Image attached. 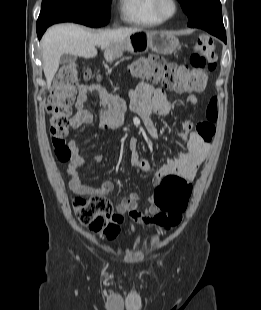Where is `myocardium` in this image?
Returning <instances> with one entry per match:
<instances>
[{
    "mask_svg": "<svg viewBox=\"0 0 261 310\" xmlns=\"http://www.w3.org/2000/svg\"><path fill=\"white\" fill-rule=\"evenodd\" d=\"M163 0H153V8H154V11L155 13L157 14V16L162 19L163 21H166V20H170L172 18H174L178 12V9H179V5H178V1L177 0H169V2L172 4L173 6V10L170 14H164L162 12V9H161V3H162Z\"/></svg>",
    "mask_w": 261,
    "mask_h": 310,
    "instance_id": "1",
    "label": "myocardium"
}]
</instances>
